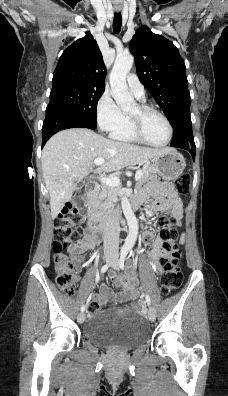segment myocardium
<instances>
[{"label":"myocardium","mask_w":228,"mask_h":396,"mask_svg":"<svg viewBox=\"0 0 228 396\" xmlns=\"http://www.w3.org/2000/svg\"><path fill=\"white\" fill-rule=\"evenodd\" d=\"M137 108H138V115H136V116L129 115V119H130L133 133L139 139V141H141L142 143H144L146 145L156 147V148H163V147L168 146L173 138V127H172V124H171L169 118L159 109H157L153 106L144 104V103H138ZM148 113H155V114L159 115L166 123L167 129H168V138L164 143L154 144V143H151L150 141H148L147 138L145 137V135L143 133V129H142L141 117Z\"/></svg>","instance_id":"obj_1"}]
</instances>
